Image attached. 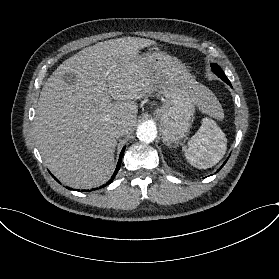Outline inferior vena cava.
<instances>
[{"instance_id": "1", "label": "inferior vena cava", "mask_w": 279, "mask_h": 279, "mask_svg": "<svg viewBox=\"0 0 279 279\" xmlns=\"http://www.w3.org/2000/svg\"><path fill=\"white\" fill-rule=\"evenodd\" d=\"M128 132L127 130V125L124 123L120 126H117L116 128L113 129L112 134L116 137L119 138L123 135H125Z\"/></svg>"}]
</instances>
